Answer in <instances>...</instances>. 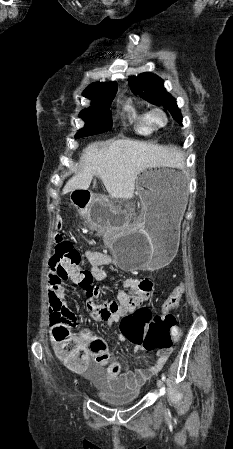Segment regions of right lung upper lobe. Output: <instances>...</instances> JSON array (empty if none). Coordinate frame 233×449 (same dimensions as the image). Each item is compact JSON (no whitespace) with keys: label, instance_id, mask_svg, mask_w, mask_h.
Returning <instances> with one entry per match:
<instances>
[{"label":"right lung upper lobe","instance_id":"1","mask_svg":"<svg viewBox=\"0 0 233 449\" xmlns=\"http://www.w3.org/2000/svg\"><path fill=\"white\" fill-rule=\"evenodd\" d=\"M117 84L116 82L110 83H92L83 92V96L89 99L107 97L112 94H116Z\"/></svg>","mask_w":233,"mask_h":449}]
</instances>
